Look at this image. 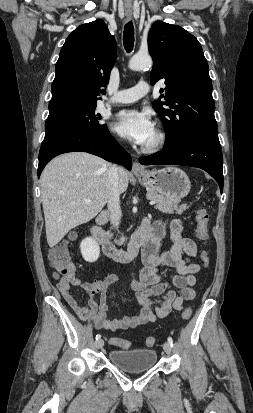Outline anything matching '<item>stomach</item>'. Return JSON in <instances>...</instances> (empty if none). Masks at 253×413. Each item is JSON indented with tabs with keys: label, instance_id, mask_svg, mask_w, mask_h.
I'll use <instances>...</instances> for the list:
<instances>
[{
	"label": "stomach",
	"instance_id": "1",
	"mask_svg": "<svg viewBox=\"0 0 253 413\" xmlns=\"http://www.w3.org/2000/svg\"><path fill=\"white\" fill-rule=\"evenodd\" d=\"M136 177L146 188L176 200L187 196L191 188L187 174L174 166L145 171Z\"/></svg>",
	"mask_w": 253,
	"mask_h": 413
}]
</instances>
